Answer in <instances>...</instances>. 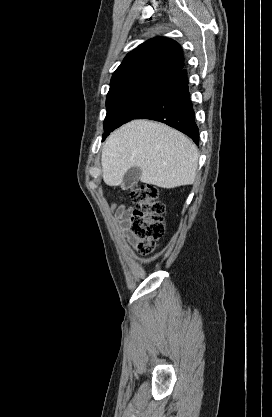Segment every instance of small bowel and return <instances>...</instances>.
Listing matches in <instances>:
<instances>
[{
  "label": "small bowel",
  "instance_id": "1",
  "mask_svg": "<svg viewBox=\"0 0 272 417\" xmlns=\"http://www.w3.org/2000/svg\"><path fill=\"white\" fill-rule=\"evenodd\" d=\"M114 216L121 226L123 236L132 244L136 242L135 237L132 235L129 226H130V216L132 209L124 205H114L113 206Z\"/></svg>",
  "mask_w": 272,
  "mask_h": 417
}]
</instances>
